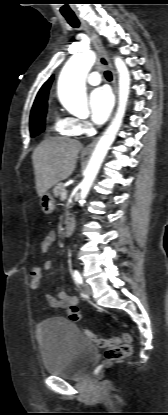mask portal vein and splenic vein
Listing matches in <instances>:
<instances>
[{
  "label": "portal vein and splenic vein",
  "mask_w": 168,
  "mask_h": 415,
  "mask_svg": "<svg viewBox=\"0 0 168 415\" xmlns=\"http://www.w3.org/2000/svg\"><path fill=\"white\" fill-rule=\"evenodd\" d=\"M67 197V192L66 191H63L62 193H61V198L62 199H65Z\"/></svg>",
  "instance_id": "portal-vein-and-splenic-vein-1"
}]
</instances>
